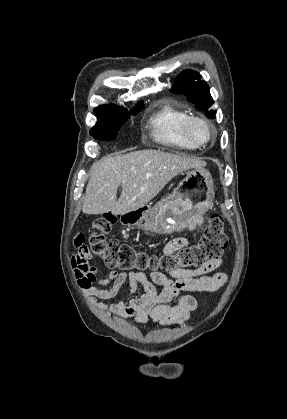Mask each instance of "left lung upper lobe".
Here are the masks:
<instances>
[{
    "label": "left lung upper lobe",
    "instance_id": "left-lung-upper-lobe-1",
    "mask_svg": "<svg viewBox=\"0 0 287 419\" xmlns=\"http://www.w3.org/2000/svg\"><path fill=\"white\" fill-rule=\"evenodd\" d=\"M200 78L201 75L198 73L185 70L177 77L171 92L184 93L197 109L203 111L208 118H213L216 112L211 110L210 106L214 101L210 95L208 84Z\"/></svg>",
    "mask_w": 287,
    "mask_h": 419
}]
</instances>
